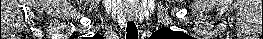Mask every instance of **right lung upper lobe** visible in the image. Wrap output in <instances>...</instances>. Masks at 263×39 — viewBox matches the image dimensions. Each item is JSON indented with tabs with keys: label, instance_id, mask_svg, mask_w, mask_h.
<instances>
[{
	"label": "right lung upper lobe",
	"instance_id": "1",
	"mask_svg": "<svg viewBox=\"0 0 263 39\" xmlns=\"http://www.w3.org/2000/svg\"><path fill=\"white\" fill-rule=\"evenodd\" d=\"M98 34H96L93 38H95Z\"/></svg>",
	"mask_w": 263,
	"mask_h": 39
}]
</instances>
